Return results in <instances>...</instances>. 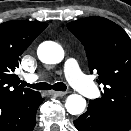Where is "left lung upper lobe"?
I'll return each instance as SVG.
<instances>
[{"instance_id":"1","label":"left lung upper lobe","mask_w":131,"mask_h":131,"mask_svg":"<svg viewBox=\"0 0 131 131\" xmlns=\"http://www.w3.org/2000/svg\"><path fill=\"white\" fill-rule=\"evenodd\" d=\"M86 50L90 72H97L101 98L89 107L107 117L116 127H131V39L114 22L87 17L67 24Z\"/></svg>"}]
</instances>
